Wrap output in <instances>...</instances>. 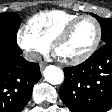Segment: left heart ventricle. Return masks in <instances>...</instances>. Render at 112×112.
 Returning a JSON list of instances; mask_svg holds the SVG:
<instances>
[{"mask_svg":"<svg viewBox=\"0 0 112 112\" xmlns=\"http://www.w3.org/2000/svg\"><path fill=\"white\" fill-rule=\"evenodd\" d=\"M96 27L92 20H81L70 35L58 46L57 55L62 59H73L84 54L92 45Z\"/></svg>","mask_w":112,"mask_h":112,"instance_id":"1","label":"left heart ventricle"}]
</instances>
